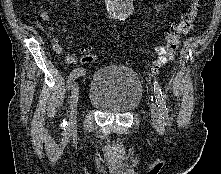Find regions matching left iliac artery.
Instances as JSON below:
<instances>
[{"mask_svg":"<svg viewBox=\"0 0 221 174\" xmlns=\"http://www.w3.org/2000/svg\"><path fill=\"white\" fill-rule=\"evenodd\" d=\"M154 94H155L156 103L159 108L160 118L166 124L169 119L168 108L166 106V102L164 99V95L161 91L160 85L156 80L154 81Z\"/></svg>","mask_w":221,"mask_h":174,"instance_id":"44dca946","label":"left iliac artery"}]
</instances>
